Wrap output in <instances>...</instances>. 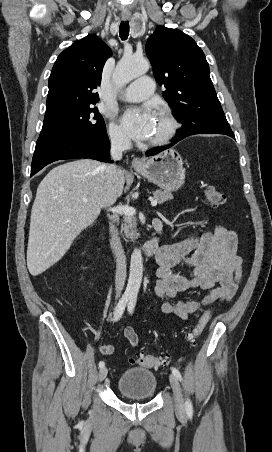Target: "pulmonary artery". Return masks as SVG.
Here are the masks:
<instances>
[{
    "label": "pulmonary artery",
    "instance_id": "obj_1",
    "mask_svg": "<svg viewBox=\"0 0 272 452\" xmlns=\"http://www.w3.org/2000/svg\"><path fill=\"white\" fill-rule=\"evenodd\" d=\"M154 91V83L149 77H141L132 82L122 95V100L141 102L148 99Z\"/></svg>",
    "mask_w": 272,
    "mask_h": 452
}]
</instances>
